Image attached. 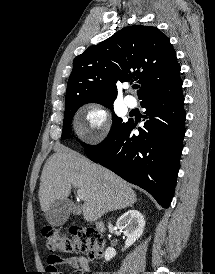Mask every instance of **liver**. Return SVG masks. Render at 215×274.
Segmentation results:
<instances>
[{
    "mask_svg": "<svg viewBox=\"0 0 215 274\" xmlns=\"http://www.w3.org/2000/svg\"><path fill=\"white\" fill-rule=\"evenodd\" d=\"M72 186L86 193L82 209L87 222L137 201L132 188L116 174L70 149L59 148L47 159L42 170L39 187L42 211L54 201L66 199Z\"/></svg>",
    "mask_w": 215,
    "mask_h": 274,
    "instance_id": "liver-1",
    "label": "liver"
}]
</instances>
